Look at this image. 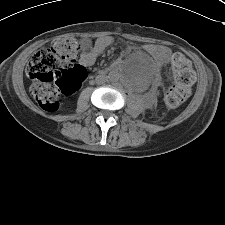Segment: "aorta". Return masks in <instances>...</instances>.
<instances>
[{
  "label": "aorta",
  "instance_id": "762f6f07",
  "mask_svg": "<svg viewBox=\"0 0 225 225\" xmlns=\"http://www.w3.org/2000/svg\"><path fill=\"white\" fill-rule=\"evenodd\" d=\"M111 81H116L117 79L114 76H110Z\"/></svg>",
  "mask_w": 225,
  "mask_h": 225
}]
</instances>
